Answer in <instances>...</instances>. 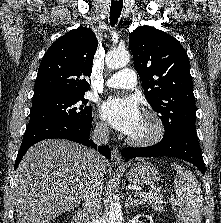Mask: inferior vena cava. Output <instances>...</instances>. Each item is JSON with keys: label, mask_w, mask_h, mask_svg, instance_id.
<instances>
[{"label": "inferior vena cava", "mask_w": 221, "mask_h": 223, "mask_svg": "<svg viewBox=\"0 0 221 223\" xmlns=\"http://www.w3.org/2000/svg\"><path fill=\"white\" fill-rule=\"evenodd\" d=\"M91 139L98 145L106 144L109 141V127L103 123H97L91 134ZM92 161L87 174L82 218L84 223H95L101 206L103 192V177L99 171V161L101 156L90 150Z\"/></svg>", "instance_id": "inferior-vena-cava-1"}]
</instances>
